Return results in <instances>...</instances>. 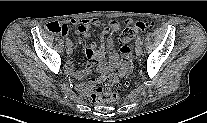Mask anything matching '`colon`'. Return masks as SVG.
Listing matches in <instances>:
<instances>
[{"mask_svg": "<svg viewBox=\"0 0 207 123\" xmlns=\"http://www.w3.org/2000/svg\"><path fill=\"white\" fill-rule=\"evenodd\" d=\"M46 30L52 33L61 31V22H50L45 26ZM148 28H151L150 24H146L142 21H136L132 26L123 30L119 37V46L122 53H126L129 50V43L134 37L142 32H145ZM128 87V83H122L120 78L116 75L108 77L102 84H98L93 93L91 94V100L94 103L114 102L119 98V93Z\"/></svg>", "mask_w": 207, "mask_h": 123, "instance_id": "5ec220e1", "label": "colon"}]
</instances>
